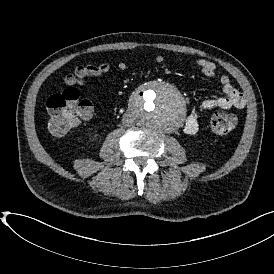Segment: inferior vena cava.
<instances>
[{
    "mask_svg": "<svg viewBox=\"0 0 274 274\" xmlns=\"http://www.w3.org/2000/svg\"><path fill=\"white\" fill-rule=\"evenodd\" d=\"M123 123L127 124V118L126 117H123Z\"/></svg>",
    "mask_w": 274,
    "mask_h": 274,
    "instance_id": "obj_1",
    "label": "inferior vena cava"
}]
</instances>
